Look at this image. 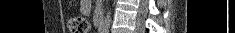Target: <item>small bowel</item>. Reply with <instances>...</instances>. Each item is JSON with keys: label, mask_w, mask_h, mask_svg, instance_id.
I'll return each instance as SVG.
<instances>
[{"label": "small bowel", "mask_w": 235, "mask_h": 33, "mask_svg": "<svg viewBox=\"0 0 235 33\" xmlns=\"http://www.w3.org/2000/svg\"><path fill=\"white\" fill-rule=\"evenodd\" d=\"M82 8H83V10H85V11H86V10H87V8H88L87 3H85V4L83 5V7H82Z\"/></svg>", "instance_id": "small-bowel-1"}]
</instances>
